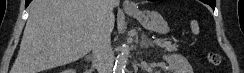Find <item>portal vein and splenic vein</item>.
Wrapping results in <instances>:
<instances>
[{
    "label": "portal vein and splenic vein",
    "instance_id": "portal-vein-and-splenic-vein-1",
    "mask_svg": "<svg viewBox=\"0 0 244 73\" xmlns=\"http://www.w3.org/2000/svg\"><path fill=\"white\" fill-rule=\"evenodd\" d=\"M160 42H161V39H159V38H157V39L154 40V43H157L158 44Z\"/></svg>",
    "mask_w": 244,
    "mask_h": 73
}]
</instances>
